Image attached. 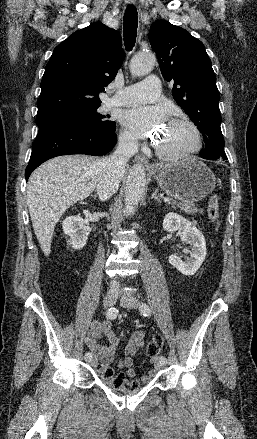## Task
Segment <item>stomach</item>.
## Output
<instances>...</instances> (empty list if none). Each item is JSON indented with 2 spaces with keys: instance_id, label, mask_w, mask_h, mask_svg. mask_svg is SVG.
Returning <instances> with one entry per match:
<instances>
[{
  "instance_id": "0dacf381",
  "label": "stomach",
  "mask_w": 257,
  "mask_h": 439,
  "mask_svg": "<svg viewBox=\"0 0 257 439\" xmlns=\"http://www.w3.org/2000/svg\"><path fill=\"white\" fill-rule=\"evenodd\" d=\"M155 179L166 194L192 204L210 195L216 184L214 173L196 158L165 164Z\"/></svg>"
}]
</instances>
